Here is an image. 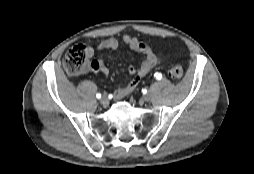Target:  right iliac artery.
Masks as SVG:
<instances>
[{"mask_svg": "<svg viewBox=\"0 0 254 174\" xmlns=\"http://www.w3.org/2000/svg\"><path fill=\"white\" fill-rule=\"evenodd\" d=\"M96 97H97L98 99H100V98H101V94L98 93V94L96 95Z\"/></svg>", "mask_w": 254, "mask_h": 174, "instance_id": "1", "label": "right iliac artery"}]
</instances>
